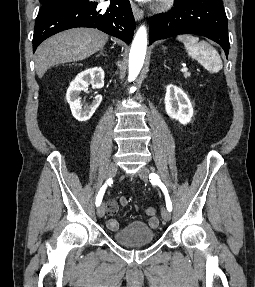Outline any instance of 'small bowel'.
Masks as SVG:
<instances>
[{"label": "small bowel", "mask_w": 255, "mask_h": 287, "mask_svg": "<svg viewBox=\"0 0 255 287\" xmlns=\"http://www.w3.org/2000/svg\"><path fill=\"white\" fill-rule=\"evenodd\" d=\"M127 205L128 199L126 197H121L118 201H110L107 205V211L109 215L113 216L117 213L118 206L125 207ZM148 224L152 227H157L159 224V220L157 217H150L148 220ZM107 226L112 231H115L120 227L119 223L115 219H109L107 221Z\"/></svg>", "instance_id": "1"}]
</instances>
